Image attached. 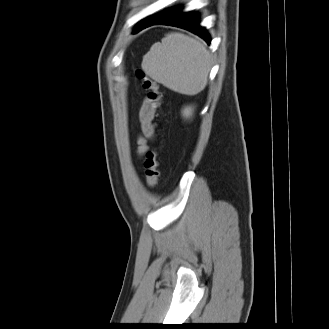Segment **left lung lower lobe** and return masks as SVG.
<instances>
[{"label": "left lung lower lobe", "instance_id": "obj_1", "mask_svg": "<svg viewBox=\"0 0 329 329\" xmlns=\"http://www.w3.org/2000/svg\"><path fill=\"white\" fill-rule=\"evenodd\" d=\"M155 24L171 25L189 30L210 44L209 34L204 27L199 25L198 16L193 12H182L181 8H174L161 12L140 22L134 30V33Z\"/></svg>", "mask_w": 329, "mask_h": 329}]
</instances>
